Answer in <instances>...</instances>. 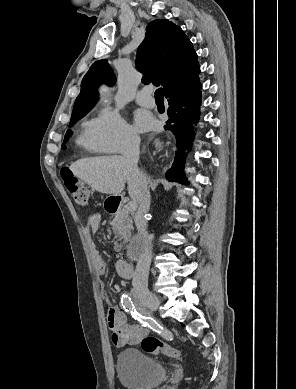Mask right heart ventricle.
Returning <instances> with one entry per match:
<instances>
[{
	"label": "right heart ventricle",
	"mask_w": 296,
	"mask_h": 389,
	"mask_svg": "<svg viewBox=\"0 0 296 389\" xmlns=\"http://www.w3.org/2000/svg\"><path fill=\"white\" fill-rule=\"evenodd\" d=\"M77 142L79 145L87 148L90 151H94V152L101 151L95 136L94 119L85 120L81 124Z\"/></svg>",
	"instance_id": "e07e8e85"
}]
</instances>
